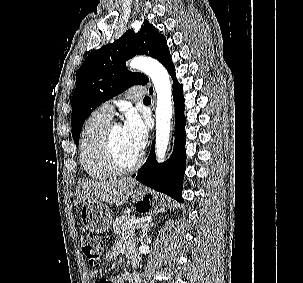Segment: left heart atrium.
Masks as SVG:
<instances>
[{
  "label": "left heart atrium",
  "mask_w": 303,
  "mask_h": 283,
  "mask_svg": "<svg viewBox=\"0 0 303 283\" xmlns=\"http://www.w3.org/2000/svg\"><path fill=\"white\" fill-rule=\"evenodd\" d=\"M122 129L131 146L140 153L148 137L144 119L136 111L131 110L126 115Z\"/></svg>",
  "instance_id": "obj_1"
}]
</instances>
